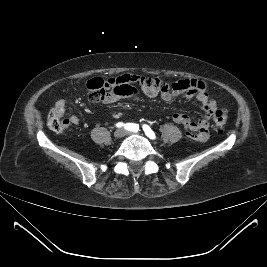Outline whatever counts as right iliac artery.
<instances>
[{
	"instance_id": "right-iliac-artery-1",
	"label": "right iliac artery",
	"mask_w": 267,
	"mask_h": 267,
	"mask_svg": "<svg viewBox=\"0 0 267 267\" xmlns=\"http://www.w3.org/2000/svg\"><path fill=\"white\" fill-rule=\"evenodd\" d=\"M116 126L117 127L125 126V129L130 130V131H134V132H137L139 129V126L137 124H133V123H128L125 125H123V123H118Z\"/></svg>"
}]
</instances>
